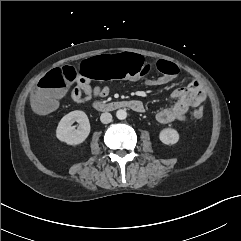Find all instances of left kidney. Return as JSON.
Segmentation results:
<instances>
[{"instance_id":"5707ae66","label":"left kidney","mask_w":241,"mask_h":241,"mask_svg":"<svg viewBox=\"0 0 241 241\" xmlns=\"http://www.w3.org/2000/svg\"><path fill=\"white\" fill-rule=\"evenodd\" d=\"M159 139L163 144L173 145L179 140V133L173 128H165L161 130Z\"/></svg>"}]
</instances>
